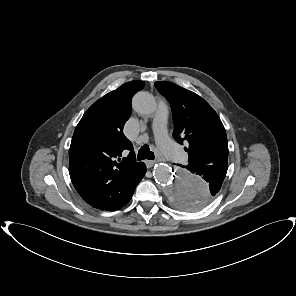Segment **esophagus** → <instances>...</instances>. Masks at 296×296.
Listing matches in <instances>:
<instances>
[{
    "mask_svg": "<svg viewBox=\"0 0 296 296\" xmlns=\"http://www.w3.org/2000/svg\"><path fill=\"white\" fill-rule=\"evenodd\" d=\"M145 164H146L147 168H151L155 164V161H153V160H146L145 161Z\"/></svg>",
    "mask_w": 296,
    "mask_h": 296,
    "instance_id": "1",
    "label": "esophagus"
}]
</instances>
